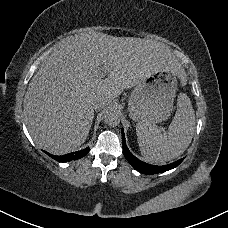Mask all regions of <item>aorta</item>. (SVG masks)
<instances>
[{
	"instance_id": "obj_1",
	"label": "aorta",
	"mask_w": 228,
	"mask_h": 228,
	"mask_svg": "<svg viewBox=\"0 0 228 228\" xmlns=\"http://www.w3.org/2000/svg\"><path fill=\"white\" fill-rule=\"evenodd\" d=\"M105 122L109 126H117L120 123L119 113L115 110L108 111L105 116Z\"/></svg>"
}]
</instances>
